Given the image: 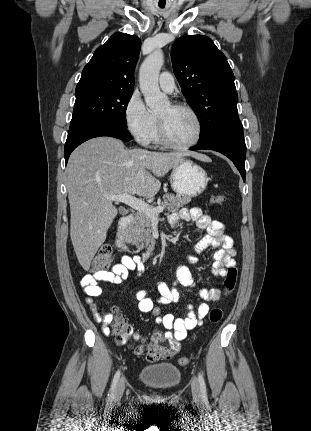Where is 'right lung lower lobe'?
<instances>
[{"label":"right lung lower lobe","instance_id":"obj_1","mask_svg":"<svg viewBox=\"0 0 311 431\" xmlns=\"http://www.w3.org/2000/svg\"><path fill=\"white\" fill-rule=\"evenodd\" d=\"M99 136H110L123 141L131 140V135L127 131V126L101 120H91L76 124L70 127L65 143L64 157L66 164L71 152L78 145Z\"/></svg>","mask_w":311,"mask_h":431}]
</instances>
